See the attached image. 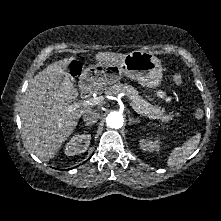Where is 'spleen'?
<instances>
[{
	"label": "spleen",
	"instance_id": "obj_1",
	"mask_svg": "<svg viewBox=\"0 0 221 221\" xmlns=\"http://www.w3.org/2000/svg\"><path fill=\"white\" fill-rule=\"evenodd\" d=\"M200 137L201 135L198 133L186 141L181 147L174 148L168 157L167 165L173 167L184 162L197 148Z\"/></svg>",
	"mask_w": 221,
	"mask_h": 221
}]
</instances>
